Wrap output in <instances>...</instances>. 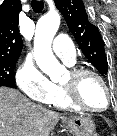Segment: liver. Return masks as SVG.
Returning a JSON list of instances; mask_svg holds the SVG:
<instances>
[{"label":"liver","mask_w":117,"mask_h":136,"mask_svg":"<svg viewBox=\"0 0 117 136\" xmlns=\"http://www.w3.org/2000/svg\"><path fill=\"white\" fill-rule=\"evenodd\" d=\"M61 118L18 90L0 87V136H49Z\"/></svg>","instance_id":"6515ba94"}]
</instances>
